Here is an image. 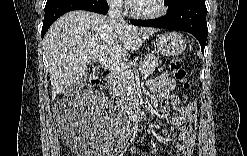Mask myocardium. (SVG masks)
Returning a JSON list of instances; mask_svg holds the SVG:
<instances>
[{"label":"myocardium","instance_id":"1","mask_svg":"<svg viewBox=\"0 0 247 156\" xmlns=\"http://www.w3.org/2000/svg\"><path fill=\"white\" fill-rule=\"evenodd\" d=\"M157 1V8L155 11L150 12V13H140L139 11H137L134 3H130L129 5V12L130 14L139 20H152V19H156L159 18L161 16H163L166 13V4L164 0H156Z\"/></svg>","mask_w":247,"mask_h":156}]
</instances>
